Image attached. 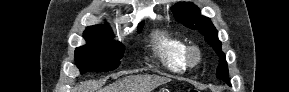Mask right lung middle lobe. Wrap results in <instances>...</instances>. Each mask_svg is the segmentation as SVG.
<instances>
[{
    "mask_svg": "<svg viewBox=\"0 0 289 92\" xmlns=\"http://www.w3.org/2000/svg\"><path fill=\"white\" fill-rule=\"evenodd\" d=\"M143 24L138 27V33ZM84 38L88 42L75 50V62L81 73L86 71L107 72L120 65L124 46L112 42V31L85 30Z\"/></svg>",
    "mask_w": 289,
    "mask_h": 92,
    "instance_id": "right-lung-middle-lobe-1",
    "label": "right lung middle lobe"
}]
</instances>
